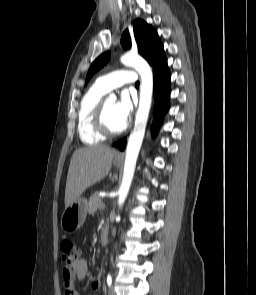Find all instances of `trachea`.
I'll use <instances>...</instances> for the list:
<instances>
[{"label":"trachea","mask_w":256,"mask_h":295,"mask_svg":"<svg viewBox=\"0 0 256 295\" xmlns=\"http://www.w3.org/2000/svg\"><path fill=\"white\" fill-rule=\"evenodd\" d=\"M135 86L139 87V82L138 81L135 83Z\"/></svg>","instance_id":"3493384b"}]
</instances>
